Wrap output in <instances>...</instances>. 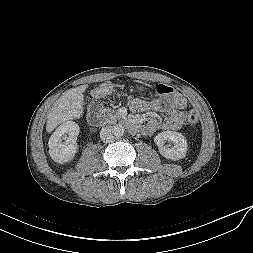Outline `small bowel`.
Segmentation results:
<instances>
[{"label": "small bowel", "mask_w": 253, "mask_h": 253, "mask_svg": "<svg viewBox=\"0 0 253 253\" xmlns=\"http://www.w3.org/2000/svg\"><path fill=\"white\" fill-rule=\"evenodd\" d=\"M186 107V99L178 92H173L171 95L150 102L141 99H134L130 102V109L134 113L153 110L169 115L165 121H158L153 118L142 120L140 127L148 134L160 130H178L185 121Z\"/></svg>", "instance_id": "c3829d8e"}]
</instances>
